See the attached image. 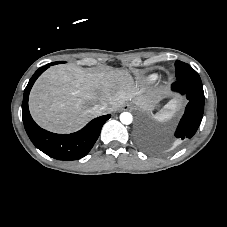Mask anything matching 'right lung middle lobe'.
I'll use <instances>...</instances> for the list:
<instances>
[{"label": "right lung middle lobe", "instance_id": "right-lung-middle-lobe-1", "mask_svg": "<svg viewBox=\"0 0 227 227\" xmlns=\"http://www.w3.org/2000/svg\"><path fill=\"white\" fill-rule=\"evenodd\" d=\"M59 63H64V62H60V61H58V62H55V63H53V64L55 65V64H59Z\"/></svg>", "mask_w": 227, "mask_h": 227}]
</instances>
